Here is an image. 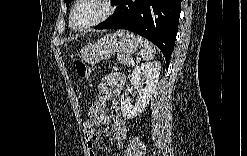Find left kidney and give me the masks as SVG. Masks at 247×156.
<instances>
[{
  "instance_id": "1",
  "label": "left kidney",
  "mask_w": 247,
  "mask_h": 156,
  "mask_svg": "<svg viewBox=\"0 0 247 156\" xmlns=\"http://www.w3.org/2000/svg\"><path fill=\"white\" fill-rule=\"evenodd\" d=\"M160 71L159 61L147 62L135 67L130 82L131 87L137 88V98L133 102L127 97L123 103V110L128 118H134L145 110L156 89Z\"/></svg>"
}]
</instances>
